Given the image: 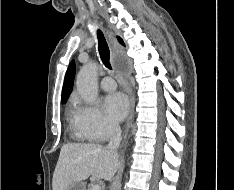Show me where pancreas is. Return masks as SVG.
I'll use <instances>...</instances> for the list:
<instances>
[{"instance_id": "cf45deb5", "label": "pancreas", "mask_w": 234, "mask_h": 190, "mask_svg": "<svg viewBox=\"0 0 234 190\" xmlns=\"http://www.w3.org/2000/svg\"><path fill=\"white\" fill-rule=\"evenodd\" d=\"M94 185L91 183V184H89V186H88V189L87 190H92V187H93Z\"/></svg>"}]
</instances>
